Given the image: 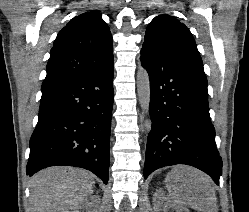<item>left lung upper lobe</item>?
<instances>
[{
    "label": "left lung upper lobe",
    "mask_w": 249,
    "mask_h": 212,
    "mask_svg": "<svg viewBox=\"0 0 249 212\" xmlns=\"http://www.w3.org/2000/svg\"><path fill=\"white\" fill-rule=\"evenodd\" d=\"M141 53L163 56L203 71L202 59L191 32L169 15L157 16L149 23Z\"/></svg>",
    "instance_id": "obj_1"
}]
</instances>
